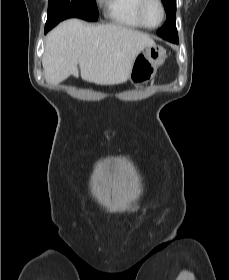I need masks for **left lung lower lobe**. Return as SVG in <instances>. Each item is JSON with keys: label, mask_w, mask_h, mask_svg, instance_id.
Wrapping results in <instances>:
<instances>
[{"label": "left lung lower lobe", "mask_w": 229, "mask_h": 280, "mask_svg": "<svg viewBox=\"0 0 229 280\" xmlns=\"http://www.w3.org/2000/svg\"><path fill=\"white\" fill-rule=\"evenodd\" d=\"M169 41V40H168ZM170 42L178 43V39L171 40Z\"/></svg>", "instance_id": "obj_1"}]
</instances>
